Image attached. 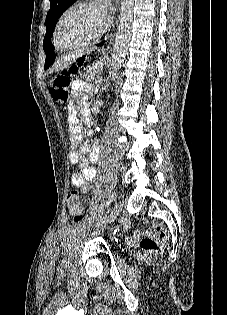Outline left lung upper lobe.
<instances>
[{"label":"left lung upper lobe","mask_w":227,"mask_h":315,"mask_svg":"<svg viewBox=\"0 0 227 315\" xmlns=\"http://www.w3.org/2000/svg\"><path fill=\"white\" fill-rule=\"evenodd\" d=\"M75 1L76 0H50V10L47 13L46 23H45L46 35L43 41V48H44L45 53L48 51V48L52 46L50 39L53 36V30L56 26V23L59 17Z\"/></svg>","instance_id":"obj_1"}]
</instances>
